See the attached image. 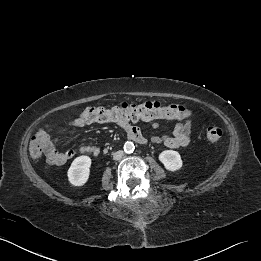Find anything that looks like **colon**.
Masks as SVG:
<instances>
[{"label": "colon", "instance_id": "1", "mask_svg": "<svg viewBox=\"0 0 261 261\" xmlns=\"http://www.w3.org/2000/svg\"><path fill=\"white\" fill-rule=\"evenodd\" d=\"M190 116V110L178 104L162 105L159 102H146L143 104L124 103L112 108L89 107L81 114L80 118L85 123L126 121H151L157 119H186ZM222 135L221 129L209 124L207 127V139L211 144H216ZM47 133L40 131L30 141L29 152L32 157H40L44 152Z\"/></svg>", "mask_w": 261, "mask_h": 261}]
</instances>
